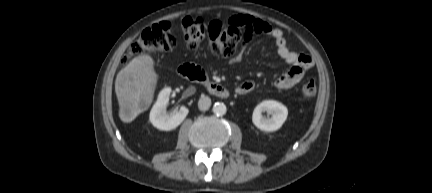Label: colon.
<instances>
[{
  "label": "colon",
  "instance_id": "obj_1",
  "mask_svg": "<svg viewBox=\"0 0 432 193\" xmlns=\"http://www.w3.org/2000/svg\"><path fill=\"white\" fill-rule=\"evenodd\" d=\"M182 31L188 49H196L202 40H208L210 51L216 56H231L238 47L242 36L248 39L246 33L242 34L241 27L234 24H224L220 21L206 23L199 17H186L182 21ZM177 38L171 32L166 22L154 24L146 28L138 39L130 46L123 62L143 54L148 50L167 52L177 46ZM317 85L314 80L306 81L301 87V96L310 99L315 96Z\"/></svg>",
  "mask_w": 432,
  "mask_h": 193
}]
</instances>
